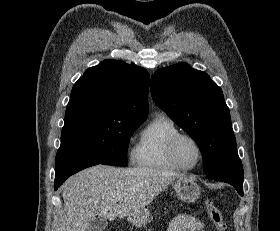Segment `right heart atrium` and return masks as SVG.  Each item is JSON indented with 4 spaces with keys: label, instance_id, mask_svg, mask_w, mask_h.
<instances>
[{
    "label": "right heart atrium",
    "instance_id": "right-heart-atrium-1",
    "mask_svg": "<svg viewBox=\"0 0 280 231\" xmlns=\"http://www.w3.org/2000/svg\"><path fill=\"white\" fill-rule=\"evenodd\" d=\"M133 155H134V152H131V157H133Z\"/></svg>",
    "mask_w": 280,
    "mask_h": 231
}]
</instances>
